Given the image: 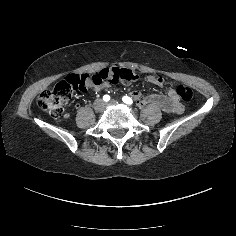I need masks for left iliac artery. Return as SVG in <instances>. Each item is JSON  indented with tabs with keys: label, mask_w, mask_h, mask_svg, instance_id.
Listing matches in <instances>:
<instances>
[{
	"label": "left iliac artery",
	"mask_w": 236,
	"mask_h": 236,
	"mask_svg": "<svg viewBox=\"0 0 236 236\" xmlns=\"http://www.w3.org/2000/svg\"><path fill=\"white\" fill-rule=\"evenodd\" d=\"M122 101H123L124 103L128 104V105H131V104L133 103L132 99H131L130 97H128V96H124V97L122 98Z\"/></svg>",
	"instance_id": "obj_1"
}]
</instances>
